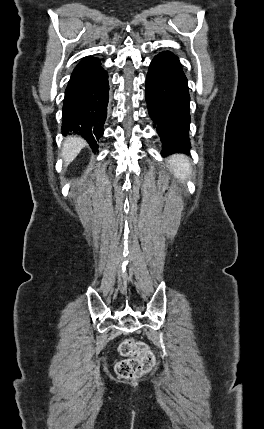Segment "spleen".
Wrapping results in <instances>:
<instances>
[{"label": "spleen", "instance_id": "obj_1", "mask_svg": "<svg viewBox=\"0 0 264 429\" xmlns=\"http://www.w3.org/2000/svg\"><path fill=\"white\" fill-rule=\"evenodd\" d=\"M169 169L172 171L175 178L182 182H184L186 178H189L192 172L189 159L182 154L173 155L169 159Z\"/></svg>", "mask_w": 264, "mask_h": 429}]
</instances>
